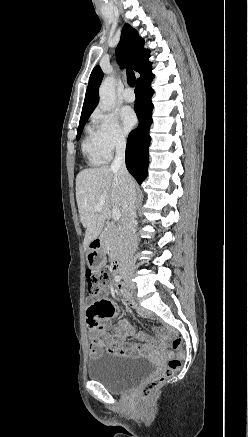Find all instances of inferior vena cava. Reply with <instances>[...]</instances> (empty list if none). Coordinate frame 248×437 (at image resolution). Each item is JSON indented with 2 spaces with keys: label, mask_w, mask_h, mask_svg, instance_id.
<instances>
[{
  "label": "inferior vena cava",
  "mask_w": 248,
  "mask_h": 437,
  "mask_svg": "<svg viewBox=\"0 0 248 437\" xmlns=\"http://www.w3.org/2000/svg\"><path fill=\"white\" fill-rule=\"evenodd\" d=\"M125 148V139H118L115 159L110 168L118 171L119 180L124 190V215L121 228L123 240L122 263L126 267H133V254L137 246V237L135 234L137 198L134 182L125 165Z\"/></svg>",
  "instance_id": "1"
}]
</instances>
